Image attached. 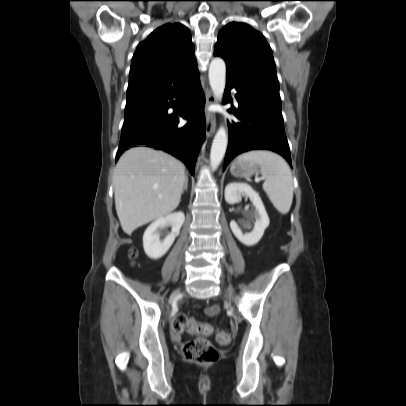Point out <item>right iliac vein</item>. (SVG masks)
I'll list each match as a JSON object with an SVG mask.
<instances>
[{
  "label": "right iliac vein",
  "mask_w": 406,
  "mask_h": 406,
  "mask_svg": "<svg viewBox=\"0 0 406 406\" xmlns=\"http://www.w3.org/2000/svg\"><path fill=\"white\" fill-rule=\"evenodd\" d=\"M179 293H180V290H179V289L175 290V291L171 294V296H170V298H169V302H173V301L175 300V298L178 296Z\"/></svg>",
  "instance_id": "1"
}]
</instances>
